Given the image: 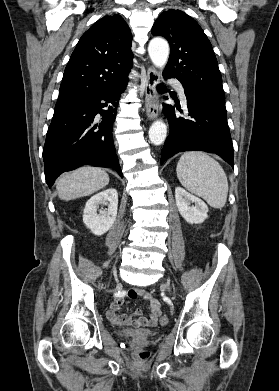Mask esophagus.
I'll list each match as a JSON object with an SVG mask.
<instances>
[{
    "label": "esophagus",
    "instance_id": "esophagus-1",
    "mask_svg": "<svg viewBox=\"0 0 279 391\" xmlns=\"http://www.w3.org/2000/svg\"><path fill=\"white\" fill-rule=\"evenodd\" d=\"M159 81V72L154 67H150L147 71V81L145 84V108L146 115L151 120L156 118L159 112L158 94L156 91V85Z\"/></svg>",
    "mask_w": 279,
    "mask_h": 391
}]
</instances>
